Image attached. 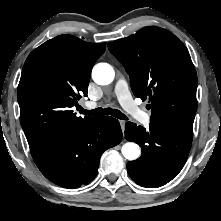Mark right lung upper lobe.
<instances>
[{
    "label": "right lung upper lobe",
    "instance_id": "obj_1",
    "mask_svg": "<svg viewBox=\"0 0 221 221\" xmlns=\"http://www.w3.org/2000/svg\"><path fill=\"white\" fill-rule=\"evenodd\" d=\"M105 49L104 44L60 35L40 45L26 59L17 99L33 158L94 119L77 117L71 107L87 95L92 67Z\"/></svg>",
    "mask_w": 221,
    "mask_h": 221
}]
</instances>
